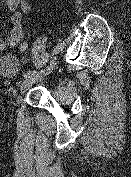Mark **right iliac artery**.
<instances>
[{"mask_svg":"<svg viewBox=\"0 0 131 177\" xmlns=\"http://www.w3.org/2000/svg\"><path fill=\"white\" fill-rule=\"evenodd\" d=\"M52 57H53V54H49V60H52ZM51 67V64L50 63H46L43 68H40L39 69V72L40 73H45L46 70H48L49 68ZM36 73V71H28L26 74H25V77L29 76V75H32Z\"/></svg>","mask_w":131,"mask_h":177,"instance_id":"1","label":"right iliac artery"}]
</instances>
